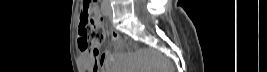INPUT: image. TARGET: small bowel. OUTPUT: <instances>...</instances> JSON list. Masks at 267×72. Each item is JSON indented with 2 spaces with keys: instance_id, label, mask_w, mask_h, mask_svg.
<instances>
[{
  "instance_id": "c3829d8e",
  "label": "small bowel",
  "mask_w": 267,
  "mask_h": 72,
  "mask_svg": "<svg viewBox=\"0 0 267 72\" xmlns=\"http://www.w3.org/2000/svg\"><path fill=\"white\" fill-rule=\"evenodd\" d=\"M98 13V9L96 8ZM112 41L115 44H118L119 38L117 35L112 36ZM83 65L89 69L91 72H109L108 64L110 61V55L107 51L100 53L97 49L94 53H86L81 57ZM98 65L101 66V70L98 69Z\"/></svg>"
}]
</instances>
